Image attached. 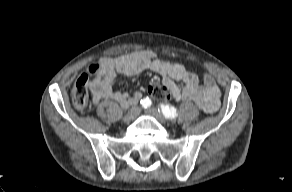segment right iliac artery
Listing matches in <instances>:
<instances>
[{"mask_svg": "<svg viewBox=\"0 0 292 192\" xmlns=\"http://www.w3.org/2000/svg\"><path fill=\"white\" fill-rule=\"evenodd\" d=\"M140 104L142 105V107L147 108L151 105V100L148 97L143 98L141 99Z\"/></svg>", "mask_w": 292, "mask_h": 192, "instance_id": "right-iliac-artery-1", "label": "right iliac artery"}]
</instances>
